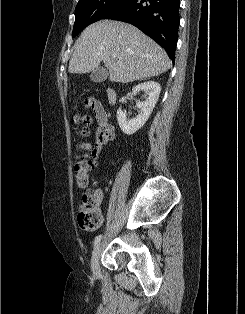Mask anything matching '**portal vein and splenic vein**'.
Here are the masks:
<instances>
[{
    "label": "portal vein and splenic vein",
    "instance_id": "obj_1",
    "mask_svg": "<svg viewBox=\"0 0 245 314\" xmlns=\"http://www.w3.org/2000/svg\"><path fill=\"white\" fill-rule=\"evenodd\" d=\"M112 58H116V55L114 54V55H112Z\"/></svg>",
    "mask_w": 245,
    "mask_h": 314
}]
</instances>
